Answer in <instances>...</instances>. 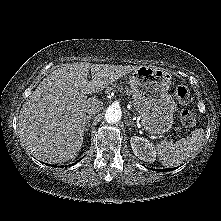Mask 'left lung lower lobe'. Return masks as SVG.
Here are the masks:
<instances>
[{
  "label": "left lung lower lobe",
  "mask_w": 221,
  "mask_h": 221,
  "mask_svg": "<svg viewBox=\"0 0 221 221\" xmlns=\"http://www.w3.org/2000/svg\"><path fill=\"white\" fill-rule=\"evenodd\" d=\"M176 168H178V167H176ZM173 169H175V168L160 169L159 171H171Z\"/></svg>",
  "instance_id": "1"
}]
</instances>
